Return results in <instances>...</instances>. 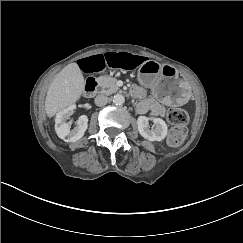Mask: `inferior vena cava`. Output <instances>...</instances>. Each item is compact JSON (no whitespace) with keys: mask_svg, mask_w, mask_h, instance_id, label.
Segmentation results:
<instances>
[{"mask_svg":"<svg viewBox=\"0 0 243 243\" xmlns=\"http://www.w3.org/2000/svg\"><path fill=\"white\" fill-rule=\"evenodd\" d=\"M94 101L97 106H105L108 103V97L100 94L96 96Z\"/></svg>","mask_w":243,"mask_h":243,"instance_id":"602c4592","label":"inferior vena cava"}]
</instances>
